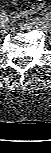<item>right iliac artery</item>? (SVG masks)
<instances>
[{
  "label": "right iliac artery",
  "instance_id": "82829eb1",
  "mask_svg": "<svg viewBox=\"0 0 51 153\" xmlns=\"http://www.w3.org/2000/svg\"><path fill=\"white\" fill-rule=\"evenodd\" d=\"M9 21L8 16L5 12H2V14L0 15V23L1 25H5L7 24Z\"/></svg>",
  "mask_w": 51,
  "mask_h": 153
}]
</instances>
